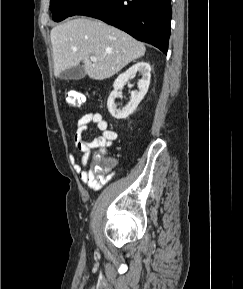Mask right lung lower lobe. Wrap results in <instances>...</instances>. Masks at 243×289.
Returning <instances> with one entry per match:
<instances>
[{
	"label": "right lung lower lobe",
	"instance_id": "obj_1",
	"mask_svg": "<svg viewBox=\"0 0 243 289\" xmlns=\"http://www.w3.org/2000/svg\"><path fill=\"white\" fill-rule=\"evenodd\" d=\"M171 14L170 0H85L71 16L100 19L166 54Z\"/></svg>",
	"mask_w": 243,
	"mask_h": 289
}]
</instances>
